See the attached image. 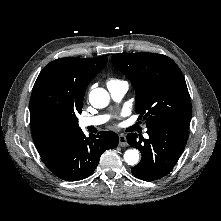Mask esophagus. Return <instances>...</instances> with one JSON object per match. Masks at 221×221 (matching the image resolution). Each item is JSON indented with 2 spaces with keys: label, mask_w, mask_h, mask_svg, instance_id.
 I'll return each mask as SVG.
<instances>
[{
  "label": "esophagus",
  "mask_w": 221,
  "mask_h": 221,
  "mask_svg": "<svg viewBox=\"0 0 221 221\" xmlns=\"http://www.w3.org/2000/svg\"><path fill=\"white\" fill-rule=\"evenodd\" d=\"M119 145H120L121 147H126V146L128 145L126 136H125L124 134H120V135H119Z\"/></svg>",
  "instance_id": "34e87169"
}]
</instances>
